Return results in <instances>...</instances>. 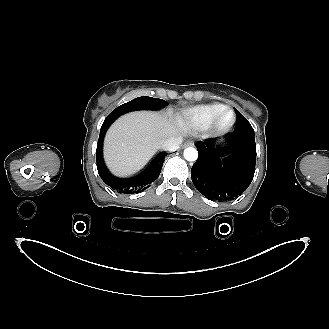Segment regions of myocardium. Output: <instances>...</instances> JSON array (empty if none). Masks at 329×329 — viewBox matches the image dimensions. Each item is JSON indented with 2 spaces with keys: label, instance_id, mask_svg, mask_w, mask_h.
Masks as SVG:
<instances>
[{
  "label": "myocardium",
  "instance_id": "obj_1",
  "mask_svg": "<svg viewBox=\"0 0 329 329\" xmlns=\"http://www.w3.org/2000/svg\"><path fill=\"white\" fill-rule=\"evenodd\" d=\"M227 112H230L232 114V120L229 124L224 126L221 124V118ZM235 122H236L235 111L230 107H224L215 115L209 127L213 129L215 132L224 133V132H228L234 126Z\"/></svg>",
  "mask_w": 329,
  "mask_h": 329
}]
</instances>
